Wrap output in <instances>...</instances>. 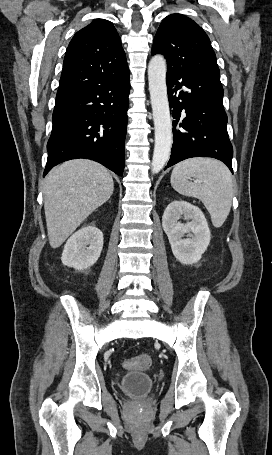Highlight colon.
Masks as SVG:
<instances>
[{
    "mask_svg": "<svg viewBox=\"0 0 272 455\" xmlns=\"http://www.w3.org/2000/svg\"><path fill=\"white\" fill-rule=\"evenodd\" d=\"M151 366V358L147 354H141L134 358L127 359L124 367L127 370H145Z\"/></svg>",
    "mask_w": 272,
    "mask_h": 455,
    "instance_id": "5ec220e1",
    "label": "colon"
}]
</instances>
